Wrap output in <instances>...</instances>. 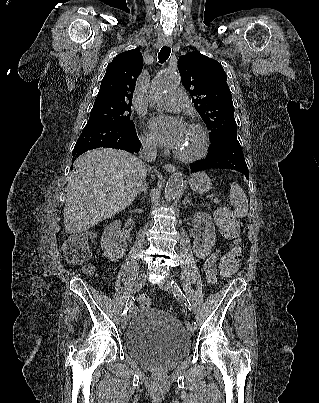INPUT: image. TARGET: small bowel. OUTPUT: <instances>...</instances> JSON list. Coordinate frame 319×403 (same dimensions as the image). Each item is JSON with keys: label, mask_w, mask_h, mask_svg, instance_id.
Listing matches in <instances>:
<instances>
[{"label": "small bowel", "mask_w": 319, "mask_h": 403, "mask_svg": "<svg viewBox=\"0 0 319 403\" xmlns=\"http://www.w3.org/2000/svg\"><path fill=\"white\" fill-rule=\"evenodd\" d=\"M220 251L215 250L206 260L203 266L204 272L206 274L207 279L210 282H215L217 279V259L219 257ZM229 275H223V276H230Z\"/></svg>", "instance_id": "1"}]
</instances>
